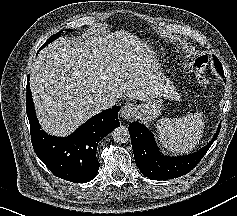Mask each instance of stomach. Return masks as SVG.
I'll return each mask as SVG.
<instances>
[{
    "label": "stomach",
    "mask_w": 237,
    "mask_h": 216,
    "mask_svg": "<svg viewBox=\"0 0 237 216\" xmlns=\"http://www.w3.org/2000/svg\"><path fill=\"white\" fill-rule=\"evenodd\" d=\"M163 99L158 93L138 106V114L145 122H151L161 114Z\"/></svg>",
    "instance_id": "stomach-1"
}]
</instances>
